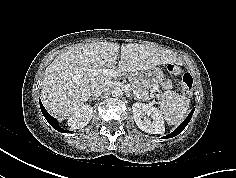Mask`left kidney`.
I'll use <instances>...</instances> for the list:
<instances>
[{
	"label": "left kidney",
	"instance_id": "obj_1",
	"mask_svg": "<svg viewBox=\"0 0 236 178\" xmlns=\"http://www.w3.org/2000/svg\"><path fill=\"white\" fill-rule=\"evenodd\" d=\"M132 112L135 123L144 132L150 134H163L165 132L162 114L156 107L136 102L132 106Z\"/></svg>",
	"mask_w": 236,
	"mask_h": 178
}]
</instances>
